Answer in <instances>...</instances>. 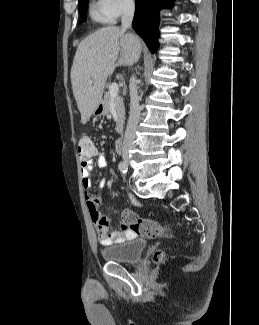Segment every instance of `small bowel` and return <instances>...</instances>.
<instances>
[{"label":"small bowel","instance_id":"obj_1","mask_svg":"<svg viewBox=\"0 0 259 325\" xmlns=\"http://www.w3.org/2000/svg\"><path fill=\"white\" fill-rule=\"evenodd\" d=\"M94 163L101 169H105L108 166V162L102 152L95 150L93 156L87 160L81 161V177L82 185L86 193V206L90 215V219L95 227V231L98 236V240L102 245H111L121 243L127 239H131L135 236V233L123 224L120 225V230H111V220L106 218L100 211L102 203L101 197H92L87 194V191L92 187V172L94 169ZM107 179L102 178L99 182L101 188L107 184ZM128 197L131 202L138 205L136 198L133 194L128 193ZM127 210V209H126Z\"/></svg>","mask_w":259,"mask_h":325}]
</instances>
